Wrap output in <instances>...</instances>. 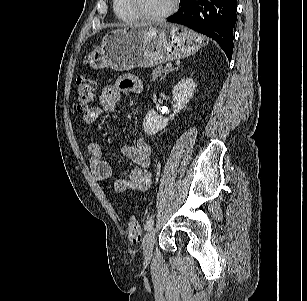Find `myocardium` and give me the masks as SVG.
Instances as JSON below:
<instances>
[{
    "label": "myocardium",
    "mask_w": 307,
    "mask_h": 301,
    "mask_svg": "<svg viewBox=\"0 0 307 301\" xmlns=\"http://www.w3.org/2000/svg\"><path fill=\"white\" fill-rule=\"evenodd\" d=\"M179 2L180 0H172L171 6L166 11L159 14H148L140 8L138 0H128L129 6L132 9L133 13L139 19L146 21H159L170 17L178 10Z\"/></svg>",
    "instance_id": "f54148a6"
}]
</instances>
